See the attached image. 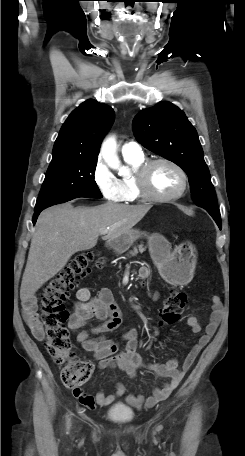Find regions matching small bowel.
Masks as SVG:
<instances>
[{"mask_svg":"<svg viewBox=\"0 0 245 456\" xmlns=\"http://www.w3.org/2000/svg\"><path fill=\"white\" fill-rule=\"evenodd\" d=\"M149 273L148 267H141L139 270V276L142 280H146ZM149 295L153 300L159 298L157 292L149 291ZM76 298L77 304L69 318L68 326L72 331H79L76 336L77 343L84 350L93 353L94 358L98 361L99 368L116 367L133 377L138 369L146 367L153 371L157 377L169 379L162 387L155 388L148 398L143 394H126V388L121 383L116 385L113 394H105L100 391L93 396L80 387L74 389V396L82 405L89 409H94L97 406H107L125 394L127 403L137 409L151 407L166 399L178 387L185 373L215 334L223 313V303L220 297L217 295L212 296V312L205 330L192 346L181 367H179L177 358H171L166 363L145 364L137 352L139 338L137 329L129 328L121 334V338L124 341L122 349H120L116 340L108 336V333L118 329L122 322L121 311L109 289L103 288L96 295H93L89 288L81 287L77 291ZM36 308L35 298L27 299L23 305V316L34 337L41 341L44 338V332L38 320ZM93 318L100 320L101 324L90 330H83ZM187 324L192 332L199 333L201 331V325L197 317L190 316L187 319Z\"/></svg>","mask_w":245,"mask_h":456,"instance_id":"c3829d8e","label":"small bowel"}]
</instances>
